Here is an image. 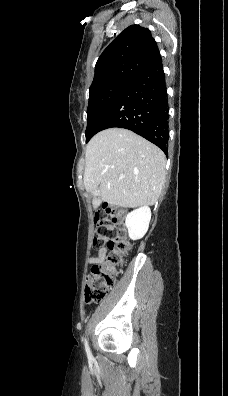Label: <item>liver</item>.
<instances>
[{
  "mask_svg": "<svg viewBox=\"0 0 228 396\" xmlns=\"http://www.w3.org/2000/svg\"><path fill=\"white\" fill-rule=\"evenodd\" d=\"M85 160L84 186L95 208L102 201L124 208L156 203L165 182L166 158L151 142L130 130L109 128L89 141Z\"/></svg>",
  "mask_w": 228,
  "mask_h": 396,
  "instance_id": "1",
  "label": "liver"
}]
</instances>
